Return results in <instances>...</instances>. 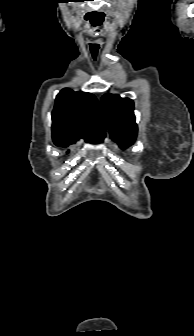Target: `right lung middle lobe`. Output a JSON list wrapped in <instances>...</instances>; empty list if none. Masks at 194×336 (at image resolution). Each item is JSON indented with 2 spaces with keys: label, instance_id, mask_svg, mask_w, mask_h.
Instances as JSON below:
<instances>
[{
  "label": "right lung middle lobe",
  "instance_id": "1",
  "mask_svg": "<svg viewBox=\"0 0 194 336\" xmlns=\"http://www.w3.org/2000/svg\"><path fill=\"white\" fill-rule=\"evenodd\" d=\"M75 141H72V140H64V139H56L54 140V143L57 145V146H62V147H67L69 144H72L74 143ZM101 142V141H99Z\"/></svg>",
  "mask_w": 194,
  "mask_h": 336
}]
</instances>
